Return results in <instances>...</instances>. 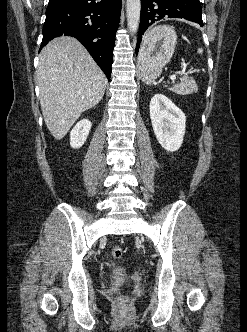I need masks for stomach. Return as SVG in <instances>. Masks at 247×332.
<instances>
[{"label":"stomach","instance_id":"1","mask_svg":"<svg viewBox=\"0 0 247 332\" xmlns=\"http://www.w3.org/2000/svg\"><path fill=\"white\" fill-rule=\"evenodd\" d=\"M177 35L173 27L156 26L143 37L138 53V69L143 80H155L170 62L175 51Z\"/></svg>","mask_w":247,"mask_h":332}]
</instances>
